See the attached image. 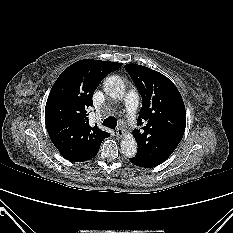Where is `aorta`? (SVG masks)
I'll return each mask as SVG.
<instances>
[{"mask_svg":"<svg viewBox=\"0 0 233 233\" xmlns=\"http://www.w3.org/2000/svg\"><path fill=\"white\" fill-rule=\"evenodd\" d=\"M104 91L114 99H120L125 94L124 82L118 76H110L104 80ZM121 152L127 157H133L137 153V143L133 136H125L120 143Z\"/></svg>","mask_w":233,"mask_h":233,"instance_id":"1","label":"aorta"}]
</instances>
